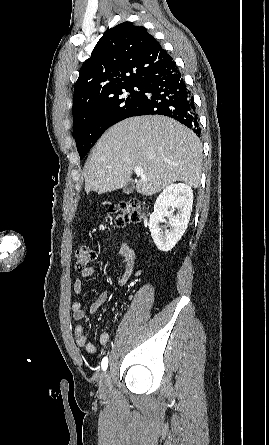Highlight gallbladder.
Instances as JSON below:
<instances>
[{
	"label": "gallbladder",
	"mask_w": 269,
	"mask_h": 445,
	"mask_svg": "<svg viewBox=\"0 0 269 445\" xmlns=\"http://www.w3.org/2000/svg\"><path fill=\"white\" fill-rule=\"evenodd\" d=\"M134 191V183L130 182L123 188V193L129 195Z\"/></svg>",
	"instance_id": "obj_1"
}]
</instances>
